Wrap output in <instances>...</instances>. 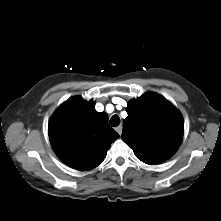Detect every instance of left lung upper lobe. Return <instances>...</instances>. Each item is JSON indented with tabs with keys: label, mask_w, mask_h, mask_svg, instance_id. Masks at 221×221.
<instances>
[{
	"label": "left lung upper lobe",
	"mask_w": 221,
	"mask_h": 221,
	"mask_svg": "<svg viewBox=\"0 0 221 221\" xmlns=\"http://www.w3.org/2000/svg\"><path fill=\"white\" fill-rule=\"evenodd\" d=\"M123 121V141L139 160L159 164L170 158L182 142L184 123L180 112L164 97L145 93L128 102Z\"/></svg>",
	"instance_id": "1"
}]
</instances>
